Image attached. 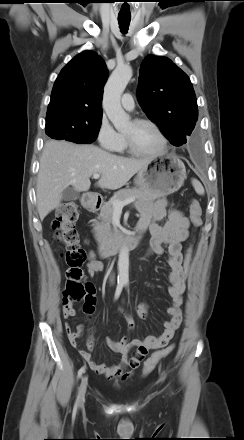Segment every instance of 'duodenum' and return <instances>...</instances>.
Here are the masks:
<instances>
[{
    "label": "duodenum",
    "instance_id": "obj_1",
    "mask_svg": "<svg viewBox=\"0 0 244 440\" xmlns=\"http://www.w3.org/2000/svg\"><path fill=\"white\" fill-rule=\"evenodd\" d=\"M84 205L88 210L95 211L100 208L101 200L96 195L88 194L84 198ZM144 231L142 228H137L135 234L131 236L124 238L113 237L109 240L102 241L99 247L100 257L109 258L123 249L137 247L141 242Z\"/></svg>",
    "mask_w": 244,
    "mask_h": 440
}]
</instances>
